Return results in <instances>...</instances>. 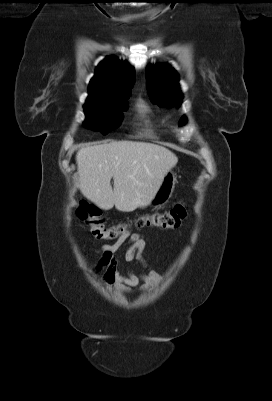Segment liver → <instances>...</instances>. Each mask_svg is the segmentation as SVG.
I'll list each match as a JSON object with an SVG mask.
<instances>
[{
	"label": "liver",
	"mask_w": 272,
	"mask_h": 401,
	"mask_svg": "<svg viewBox=\"0 0 272 401\" xmlns=\"http://www.w3.org/2000/svg\"><path fill=\"white\" fill-rule=\"evenodd\" d=\"M81 193L100 208L132 212L148 206L177 156L153 143L113 141L76 154ZM114 187L111 186V179Z\"/></svg>",
	"instance_id": "liver-1"
}]
</instances>
